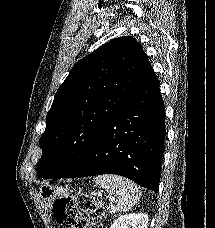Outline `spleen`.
I'll return each instance as SVG.
<instances>
[{
  "mask_svg": "<svg viewBox=\"0 0 215 228\" xmlns=\"http://www.w3.org/2000/svg\"><path fill=\"white\" fill-rule=\"evenodd\" d=\"M96 184L105 188L107 194L116 198V210L118 212H127L131 210L140 200L141 192L131 180L122 178V176H113V174H103L94 178Z\"/></svg>",
  "mask_w": 215,
  "mask_h": 228,
  "instance_id": "1",
  "label": "spleen"
}]
</instances>
